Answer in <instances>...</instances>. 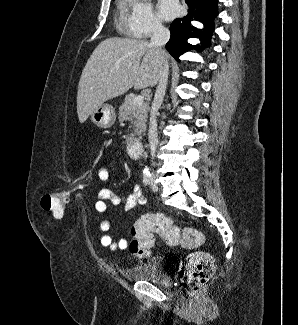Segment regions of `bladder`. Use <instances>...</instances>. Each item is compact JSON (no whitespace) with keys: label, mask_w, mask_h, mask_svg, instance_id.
Instances as JSON below:
<instances>
[{"label":"bladder","mask_w":298,"mask_h":325,"mask_svg":"<svg viewBox=\"0 0 298 325\" xmlns=\"http://www.w3.org/2000/svg\"><path fill=\"white\" fill-rule=\"evenodd\" d=\"M123 277L133 282H149L163 287H171L172 281L164 272L162 263L152 258L122 270Z\"/></svg>","instance_id":"obj_1"}]
</instances>
